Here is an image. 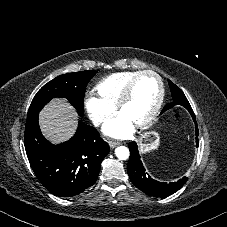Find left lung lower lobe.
Here are the masks:
<instances>
[{
  "label": "left lung lower lobe",
  "instance_id": "1",
  "mask_svg": "<svg viewBox=\"0 0 227 227\" xmlns=\"http://www.w3.org/2000/svg\"><path fill=\"white\" fill-rule=\"evenodd\" d=\"M194 123H195V133L198 136V127L195 119L194 113H190ZM199 141L196 137V146L198 147ZM130 150V158L127 165V171L132 183L141 191L147 195L153 197H167L178 191L187 181L184 177L176 182L166 183L159 182L152 179L146 172L142 161L140 160V155L138 152L137 144L135 142H130L128 144Z\"/></svg>",
  "mask_w": 227,
  "mask_h": 227
}]
</instances>
